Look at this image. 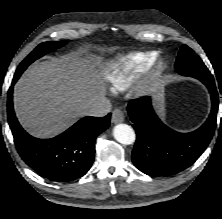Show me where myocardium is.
<instances>
[{
    "instance_id": "obj_1",
    "label": "myocardium",
    "mask_w": 222,
    "mask_h": 219,
    "mask_svg": "<svg viewBox=\"0 0 222 219\" xmlns=\"http://www.w3.org/2000/svg\"><path fill=\"white\" fill-rule=\"evenodd\" d=\"M164 68L165 62L163 60L157 61L149 72L148 80L150 82L158 81Z\"/></svg>"
}]
</instances>
